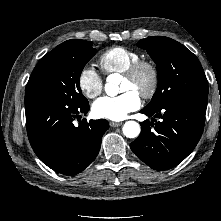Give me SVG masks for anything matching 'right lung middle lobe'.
Wrapping results in <instances>:
<instances>
[{"label": "right lung middle lobe", "mask_w": 221, "mask_h": 221, "mask_svg": "<svg viewBox=\"0 0 221 221\" xmlns=\"http://www.w3.org/2000/svg\"><path fill=\"white\" fill-rule=\"evenodd\" d=\"M96 53L90 41L73 39L63 42L37 63L25 96L52 98L73 107L87 104L79 80L84 66Z\"/></svg>", "instance_id": "right-lung-middle-lobe-1"}]
</instances>
